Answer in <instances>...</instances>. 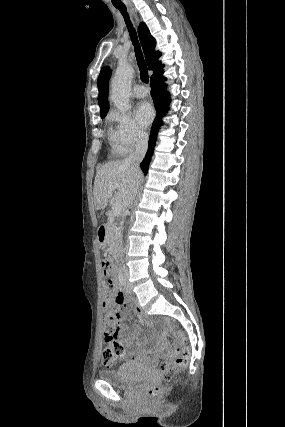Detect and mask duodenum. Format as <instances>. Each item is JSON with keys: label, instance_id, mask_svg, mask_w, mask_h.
I'll return each instance as SVG.
<instances>
[{"label": "duodenum", "instance_id": "410a0bca", "mask_svg": "<svg viewBox=\"0 0 285 427\" xmlns=\"http://www.w3.org/2000/svg\"><path fill=\"white\" fill-rule=\"evenodd\" d=\"M115 227L114 226H101L98 229V241L100 245L105 246L106 245V235L107 233L114 232Z\"/></svg>", "mask_w": 285, "mask_h": 427}]
</instances>
